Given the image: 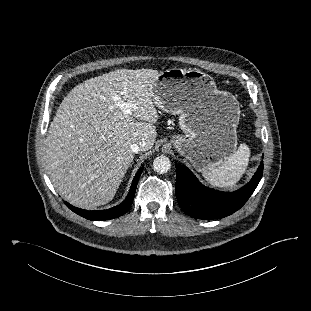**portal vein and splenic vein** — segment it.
<instances>
[{
  "label": "portal vein and splenic vein",
  "mask_w": 311,
  "mask_h": 311,
  "mask_svg": "<svg viewBox=\"0 0 311 311\" xmlns=\"http://www.w3.org/2000/svg\"><path fill=\"white\" fill-rule=\"evenodd\" d=\"M113 100L115 104L124 112V114L130 115L132 113V108H135L133 104L126 103L124 100H122L119 95H115Z\"/></svg>",
  "instance_id": "portal-vein-and-splenic-vein-1"
}]
</instances>
